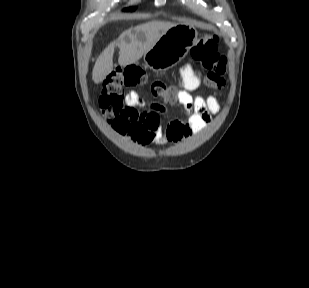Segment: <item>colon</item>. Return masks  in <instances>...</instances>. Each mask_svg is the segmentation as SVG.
<instances>
[{
  "label": "colon",
  "mask_w": 309,
  "mask_h": 288,
  "mask_svg": "<svg viewBox=\"0 0 309 288\" xmlns=\"http://www.w3.org/2000/svg\"><path fill=\"white\" fill-rule=\"evenodd\" d=\"M190 56L196 68L195 73L202 71L203 83L213 89H221L225 84L227 60L220 53L216 36H203L190 50ZM149 78L139 66L129 65L111 71L102 82V93L99 104L104 117L112 122L120 118H127L131 109L125 104V88L146 84ZM151 90L155 96L173 102L177 96L174 86L156 80L151 83Z\"/></svg>",
  "instance_id": "1"
}]
</instances>
